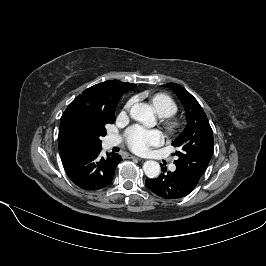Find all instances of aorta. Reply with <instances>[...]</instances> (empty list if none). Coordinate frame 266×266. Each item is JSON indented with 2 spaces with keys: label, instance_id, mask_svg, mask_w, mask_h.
Masks as SVG:
<instances>
[{
  "label": "aorta",
  "instance_id": "762f6f07",
  "mask_svg": "<svg viewBox=\"0 0 266 266\" xmlns=\"http://www.w3.org/2000/svg\"><path fill=\"white\" fill-rule=\"evenodd\" d=\"M130 115L134 120L142 122L149 127L156 124L153 109L148 104H134L130 110ZM143 170L147 177L156 178L159 176L161 168L158 162L149 160L143 164Z\"/></svg>",
  "mask_w": 266,
  "mask_h": 266
}]
</instances>
